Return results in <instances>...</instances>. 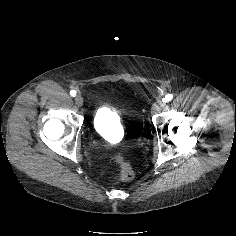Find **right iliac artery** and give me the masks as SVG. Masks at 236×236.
I'll use <instances>...</instances> for the list:
<instances>
[{
  "instance_id": "1",
  "label": "right iliac artery",
  "mask_w": 236,
  "mask_h": 236,
  "mask_svg": "<svg viewBox=\"0 0 236 236\" xmlns=\"http://www.w3.org/2000/svg\"><path fill=\"white\" fill-rule=\"evenodd\" d=\"M70 95L73 96V97H75V96H76V91H75V90H71V91H70Z\"/></svg>"
}]
</instances>
